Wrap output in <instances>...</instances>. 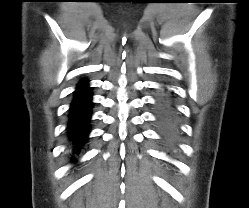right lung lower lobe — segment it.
Masks as SVG:
<instances>
[{"label":"right lung lower lobe","mask_w":249,"mask_h":208,"mask_svg":"<svg viewBox=\"0 0 249 208\" xmlns=\"http://www.w3.org/2000/svg\"><path fill=\"white\" fill-rule=\"evenodd\" d=\"M92 106L91 88L88 86V80L83 79L77 84L74 91L66 128L71 147L76 153L80 152L81 146L88 139Z\"/></svg>","instance_id":"obj_1"}]
</instances>
